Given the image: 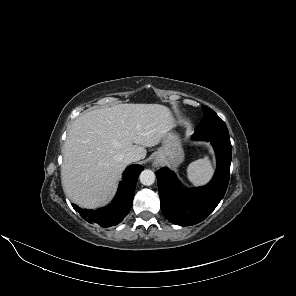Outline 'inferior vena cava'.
I'll return each mask as SVG.
<instances>
[{
  "label": "inferior vena cava",
  "instance_id": "602c4592",
  "mask_svg": "<svg viewBox=\"0 0 296 296\" xmlns=\"http://www.w3.org/2000/svg\"><path fill=\"white\" fill-rule=\"evenodd\" d=\"M123 160L126 164H129L140 160V156L136 153L128 152L123 156Z\"/></svg>",
  "mask_w": 296,
  "mask_h": 296
}]
</instances>
